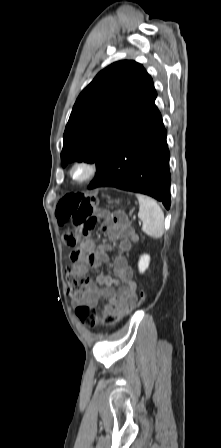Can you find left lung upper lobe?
<instances>
[{
	"instance_id": "1",
	"label": "left lung upper lobe",
	"mask_w": 221,
	"mask_h": 448,
	"mask_svg": "<svg viewBox=\"0 0 221 448\" xmlns=\"http://www.w3.org/2000/svg\"><path fill=\"white\" fill-rule=\"evenodd\" d=\"M156 97L152 78L135 61H118L99 72L74 104L63 136L62 166L85 161L100 169Z\"/></svg>"
}]
</instances>
